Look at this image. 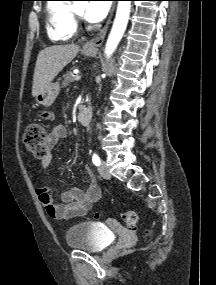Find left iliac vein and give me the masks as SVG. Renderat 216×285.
I'll use <instances>...</instances> for the list:
<instances>
[{
	"label": "left iliac vein",
	"mask_w": 216,
	"mask_h": 285,
	"mask_svg": "<svg viewBox=\"0 0 216 285\" xmlns=\"http://www.w3.org/2000/svg\"><path fill=\"white\" fill-rule=\"evenodd\" d=\"M98 171L100 173V175L104 178V179H110L111 175L109 173V170L106 166L105 162H102L99 167H98Z\"/></svg>",
	"instance_id": "1"
}]
</instances>
